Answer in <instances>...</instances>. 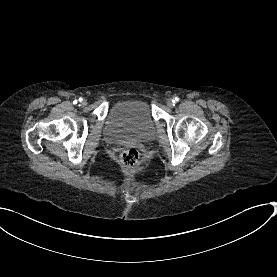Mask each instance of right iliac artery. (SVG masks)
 <instances>
[{"label": "right iliac artery", "mask_w": 277, "mask_h": 277, "mask_svg": "<svg viewBox=\"0 0 277 277\" xmlns=\"http://www.w3.org/2000/svg\"><path fill=\"white\" fill-rule=\"evenodd\" d=\"M79 101H82V98H79ZM75 103H77V101H75Z\"/></svg>", "instance_id": "obj_1"}]
</instances>
